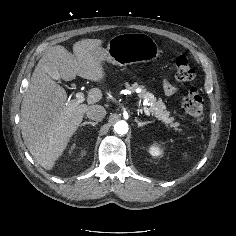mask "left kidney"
Returning <instances> with one entry per match:
<instances>
[{"label": "left kidney", "mask_w": 236, "mask_h": 236, "mask_svg": "<svg viewBox=\"0 0 236 236\" xmlns=\"http://www.w3.org/2000/svg\"><path fill=\"white\" fill-rule=\"evenodd\" d=\"M150 154L153 156V157H159L163 154V151L162 149L157 146V145H152L150 147V150H149Z\"/></svg>", "instance_id": "1"}]
</instances>
